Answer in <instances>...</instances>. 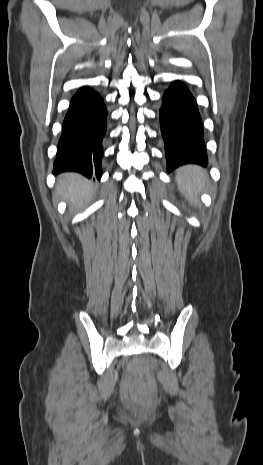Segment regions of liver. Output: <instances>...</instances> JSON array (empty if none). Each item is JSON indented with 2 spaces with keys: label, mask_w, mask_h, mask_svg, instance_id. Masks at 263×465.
I'll return each instance as SVG.
<instances>
[{
  "label": "liver",
  "mask_w": 263,
  "mask_h": 465,
  "mask_svg": "<svg viewBox=\"0 0 263 465\" xmlns=\"http://www.w3.org/2000/svg\"><path fill=\"white\" fill-rule=\"evenodd\" d=\"M57 192L67 200L74 209L88 202L94 195L93 184L76 173H65L59 176Z\"/></svg>",
  "instance_id": "obj_1"
}]
</instances>
